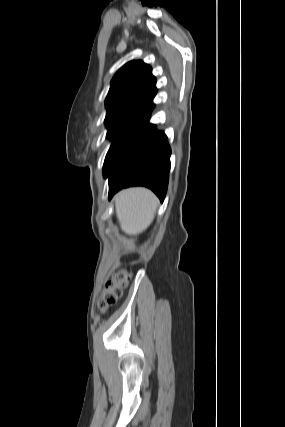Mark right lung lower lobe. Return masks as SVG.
Returning a JSON list of instances; mask_svg holds the SVG:
<instances>
[{
	"label": "right lung lower lobe",
	"mask_w": 285,
	"mask_h": 427,
	"mask_svg": "<svg viewBox=\"0 0 285 427\" xmlns=\"http://www.w3.org/2000/svg\"><path fill=\"white\" fill-rule=\"evenodd\" d=\"M153 109V108H152ZM150 109L127 139L112 166L104 173L109 178V199L120 189L146 186L164 200L170 169L171 149L164 132L149 124Z\"/></svg>",
	"instance_id": "1"
}]
</instances>
